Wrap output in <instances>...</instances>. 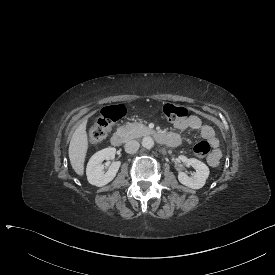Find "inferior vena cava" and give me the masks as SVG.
I'll use <instances>...</instances> for the list:
<instances>
[{"mask_svg":"<svg viewBox=\"0 0 275 275\" xmlns=\"http://www.w3.org/2000/svg\"><path fill=\"white\" fill-rule=\"evenodd\" d=\"M125 152L132 154L139 149V143L136 140L128 141L124 146Z\"/></svg>","mask_w":275,"mask_h":275,"instance_id":"inferior-vena-cava-1","label":"inferior vena cava"}]
</instances>
